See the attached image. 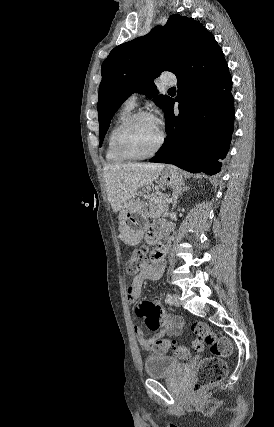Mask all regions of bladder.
I'll list each match as a JSON object with an SVG mask.
<instances>
[{
	"mask_svg": "<svg viewBox=\"0 0 274 427\" xmlns=\"http://www.w3.org/2000/svg\"><path fill=\"white\" fill-rule=\"evenodd\" d=\"M181 365L182 363L169 355L144 357L145 373L150 379L175 375Z\"/></svg>",
	"mask_w": 274,
	"mask_h": 427,
	"instance_id": "bladder-1",
	"label": "bladder"
}]
</instances>
